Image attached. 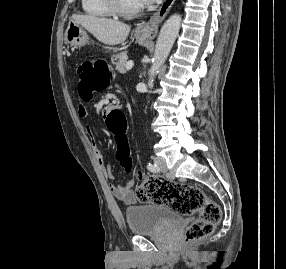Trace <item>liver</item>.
I'll list each match as a JSON object with an SVG mask.
<instances>
[{
    "mask_svg": "<svg viewBox=\"0 0 286 269\" xmlns=\"http://www.w3.org/2000/svg\"><path fill=\"white\" fill-rule=\"evenodd\" d=\"M71 20L80 24L99 41L107 45H117L124 42L131 29L129 25L120 21L99 18L94 15L74 14Z\"/></svg>",
    "mask_w": 286,
    "mask_h": 269,
    "instance_id": "liver-1",
    "label": "liver"
}]
</instances>
